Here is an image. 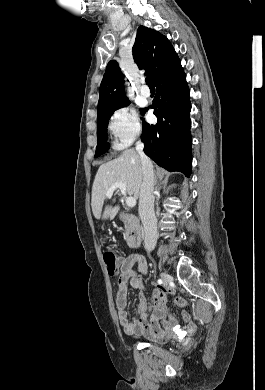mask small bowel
Masks as SVG:
<instances>
[{
    "mask_svg": "<svg viewBox=\"0 0 265 390\" xmlns=\"http://www.w3.org/2000/svg\"><path fill=\"white\" fill-rule=\"evenodd\" d=\"M147 272V262L140 254H130L120 259V275L118 279V291L115 299V306L119 323L126 334L146 335L156 341H164L168 338L167 318H171L166 304V291L155 290L150 296V301L146 296L144 276ZM133 287L139 290L138 318L129 320L126 306L128 288ZM150 305L153 311L151 320H148ZM185 326V333H193L196 329L194 322L190 320L187 312L182 313Z\"/></svg>",
    "mask_w": 265,
    "mask_h": 390,
    "instance_id": "c3829d8e",
    "label": "small bowel"
}]
</instances>
